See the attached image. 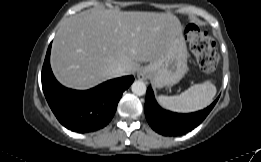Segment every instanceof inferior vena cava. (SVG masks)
I'll return each mask as SVG.
<instances>
[{
  "label": "inferior vena cava",
  "mask_w": 261,
  "mask_h": 162,
  "mask_svg": "<svg viewBox=\"0 0 261 162\" xmlns=\"http://www.w3.org/2000/svg\"><path fill=\"white\" fill-rule=\"evenodd\" d=\"M113 74L115 77H119V76H123V75H128L127 73V69L124 66H117L114 70H113Z\"/></svg>",
  "instance_id": "1"
}]
</instances>
